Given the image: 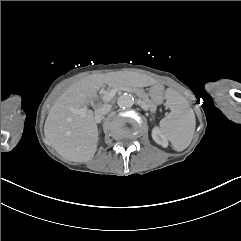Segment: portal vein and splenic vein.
<instances>
[{
  "instance_id": "1",
  "label": "portal vein and splenic vein",
  "mask_w": 241,
  "mask_h": 241,
  "mask_svg": "<svg viewBox=\"0 0 241 241\" xmlns=\"http://www.w3.org/2000/svg\"><path fill=\"white\" fill-rule=\"evenodd\" d=\"M117 91H123V92H127V93L129 92L130 94L133 93L132 91H130L128 89H123V88L112 89L111 91L107 92L102 97V100L105 101V102H109L110 100H112L116 96ZM88 110L89 109H88L87 106H85L83 108H80V109L74 108L73 106L70 107V111L72 113L79 114L81 117H85Z\"/></svg>"
}]
</instances>
